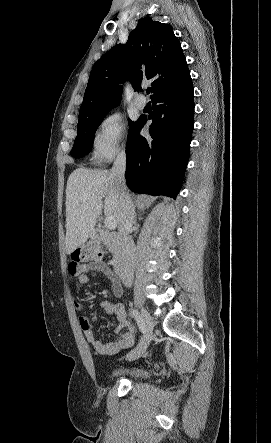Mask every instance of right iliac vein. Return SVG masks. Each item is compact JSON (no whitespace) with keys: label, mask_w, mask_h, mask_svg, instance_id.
I'll list each match as a JSON object with an SVG mask.
<instances>
[{"label":"right iliac vein","mask_w":271,"mask_h":443,"mask_svg":"<svg viewBox=\"0 0 271 443\" xmlns=\"http://www.w3.org/2000/svg\"><path fill=\"white\" fill-rule=\"evenodd\" d=\"M141 312H142V319L146 323L147 331L146 334L143 336V338L140 340L138 346L135 349H133L130 353H128L127 360L129 361H134L140 358L145 353L153 336V327H154L153 321L148 312L144 308H142Z\"/></svg>","instance_id":"right-iliac-vein-1"}]
</instances>
